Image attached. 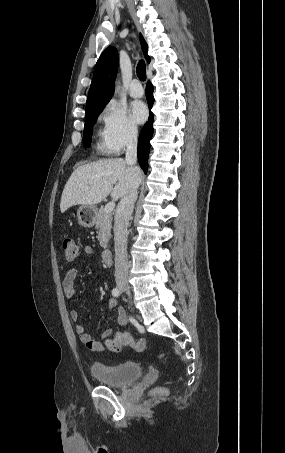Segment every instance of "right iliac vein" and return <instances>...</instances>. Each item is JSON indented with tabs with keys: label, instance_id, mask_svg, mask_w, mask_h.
Here are the masks:
<instances>
[{
	"label": "right iliac vein",
	"instance_id": "right-iliac-vein-1",
	"mask_svg": "<svg viewBox=\"0 0 285 453\" xmlns=\"http://www.w3.org/2000/svg\"><path fill=\"white\" fill-rule=\"evenodd\" d=\"M118 288L122 292H125L129 297H131L130 287H129V285L126 282H119L118 283Z\"/></svg>",
	"mask_w": 285,
	"mask_h": 453
}]
</instances>
